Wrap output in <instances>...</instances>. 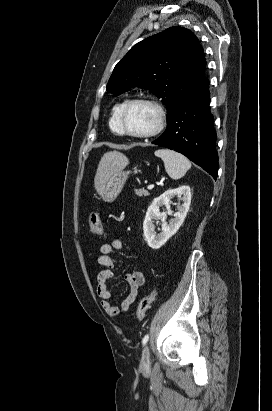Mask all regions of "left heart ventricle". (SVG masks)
Listing matches in <instances>:
<instances>
[{"label":"left heart ventricle","instance_id":"b2bd125f","mask_svg":"<svg viewBox=\"0 0 272 411\" xmlns=\"http://www.w3.org/2000/svg\"><path fill=\"white\" fill-rule=\"evenodd\" d=\"M155 122V111L144 104H135L131 106L124 116L125 128L134 133L151 130L155 125Z\"/></svg>","mask_w":272,"mask_h":411}]
</instances>
